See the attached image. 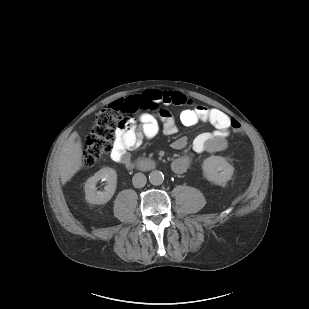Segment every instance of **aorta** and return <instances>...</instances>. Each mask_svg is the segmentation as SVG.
Instances as JSON below:
<instances>
[{"label":"aorta","instance_id":"1","mask_svg":"<svg viewBox=\"0 0 309 309\" xmlns=\"http://www.w3.org/2000/svg\"><path fill=\"white\" fill-rule=\"evenodd\" d=\"M149 181L152 185H161L164 181V175L161 171L154 170L149 174Z\"/></svg>","mask_w":309,"mask_h":309}]
</instances>
